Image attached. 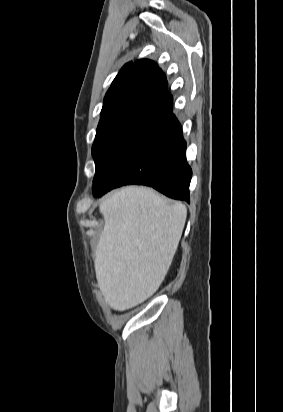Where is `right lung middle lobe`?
Listing matches in <instances>:
<instances>
[{
    "instance_id": "obj_1",
    "label": "right lung middle lobe",
    "mask_w": 283,
    "mask_h": 412,
    "mask_svg": "<svg viewBox=\"0 0 283 412\" xmlns=\"http://www.w3.org/2000/svg\"><path fill=\"white\" fill-rule=\"evenodd\" d=\"M162 117L161 112H156L123 114L100 120L92 147L96 166L93 184L138 142L147 128Z\"/></svg>"
}]
</instances>
